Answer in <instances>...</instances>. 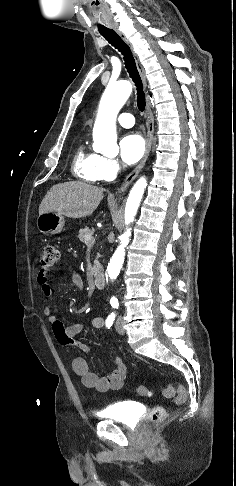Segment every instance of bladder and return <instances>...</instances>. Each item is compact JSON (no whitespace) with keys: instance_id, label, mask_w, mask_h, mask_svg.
I'll return each mask as SVG.
<instances>
[{"instance_id":"bladder-1","label":"bladder","mask_w":236,"mask_h":486,"mask_svg":"<svg viewBox=\"0 0 236 486\" xmlns=\"http://www.w3.org/2000/svg\"><path fill=\"white\" fill-rule=\"evenodd\" d=\"M139 412V406L132 402H119L99 411V416L122 424H134Z\"/></svg>"}]
</instances>
